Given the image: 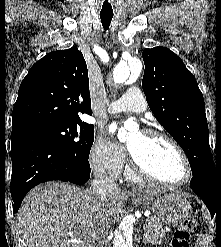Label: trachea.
Listing matches in <instances>:
<instances>
[{"mask_svg": "<svg viewBox=\"0 0 221 247\" xmlns=\"http://www.w3.org/2000/svg\"><path fill=\"white\" fill-rule=\"evenodd\" d=\"M113 14H100V19L103 25L104 30H107L110 26V23L112 21Z\"/></svg>", "mask_w": 221, "mask_h": 247, "instance_id": "trachea-1", "label": "trachea"}]
</instances>
